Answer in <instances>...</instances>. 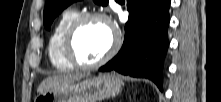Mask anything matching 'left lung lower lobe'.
I'll return each instance as SVG.
<instances>
[{
    "mask_svg": "<svg viewBox=\"0 0 221 102\" xmlns=\"http://www.w3.org/2000/svg\"><path fill=\"white\" fill-rule=\"evenodd\" d=\"M131 23L125 25L124 44L100 71L152 80L162 90V68L168 48L170 0H128Z\"/></svg>",
    "mask_w": 221,
    "mask_h": 102,
    "instance_id": "1",
    "label": "left lung lower lobe"
}]
</instances>
